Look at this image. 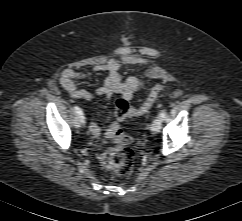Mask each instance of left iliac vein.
I'll return each mask as SVG.
<instances>
[{"label":"left iliac vein","mask_w":242,"mask_h":221,"mask_svg":"<svg viewBox=\"0 0 242 221\" xmlns=\"http://www.w3.org/2000/svg\"><path fill=\"white\" fill-rule=\"evenodd\" d=\"M151 132L152 134H158L160 132L161 129V122L159 119H154L151 123Z\"/></svg>","instance_id":"4c4485c4"}]
</instances>
